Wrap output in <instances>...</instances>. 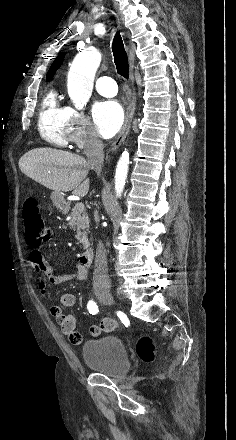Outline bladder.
<instances>
[{
  "mask_svg": "<svg viewBox=\"0 0 236 440\" xmlns=\"http://www.w3.org/2000/svg\"><path fill=\"white\" fill-rule=\"evenodd\" d=\"M81 352L85 364L90 369L111 377L123 375L130 368L125 344L115 336L87 341Z\"/></svg>",
  "mask_w": 236,
  "mask_h": 440,
  "instance_id": "bladder-1",
  "label": "bladder"
}]
</instances>
